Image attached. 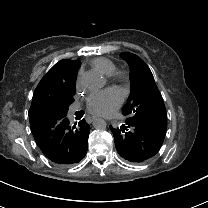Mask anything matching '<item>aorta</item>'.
<instances>
[{"label": "aorta", "instance_id": "762f6f07", "mask_svg": "<svg viewBox=\"0 0 208 208\" xmlns=\"http://www.w3.org/2000/svg\"><path fill=\"white\" fill-rule=\"evenodd\" d=\"M106 126H107L106 121L102 118H96L93 121V127L97 130H104Z\"/></svg>", "mask_w": 208, "mask_h": 208}]
</instances>
